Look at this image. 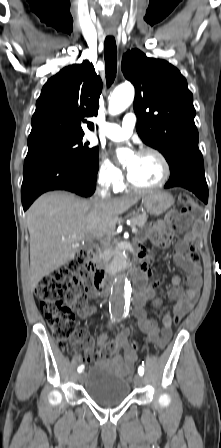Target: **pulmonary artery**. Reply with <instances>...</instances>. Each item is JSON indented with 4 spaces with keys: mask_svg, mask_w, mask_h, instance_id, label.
I'll list each match as a JSON object with an SVG mask.
<instances>
[{
    "mask_svg": "<svg viewBox=\"0 0 221 448\" xmlns=\"http://www.w3.org/2000/svg\"><path fill=\"white\" fill-rule=\"evenodd\" d=\"M135 122L136 116L133 113H128L123 118L122 126L105 123L100 129V133L111 140L120 141L132 135Z\"/></svg>",
    "mask_w": 221,
    "mask_h": 448,
    "instance_id": "obj_1",
    "label": "pulmonary artery"
}]
</instances>
